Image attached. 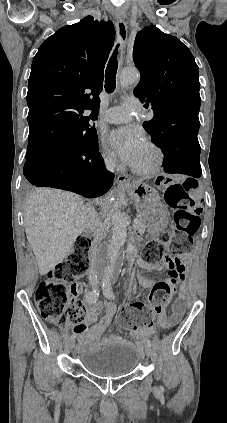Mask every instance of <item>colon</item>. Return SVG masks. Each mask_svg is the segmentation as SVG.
I'll return each mask as SVG.
<instances>
[{
    "label": "colon",
    "mask_w": 227,
    "mask_h": 423,
    "mask_svg": "<svg viewBox=\"0 0 227 423\" xmlns=\"http://www.w3.org/2000/svg\"><path fill=\"white\" fill-rule=\"evenodd\" d=\"M156 184L164 190L166 203L175 209L171 254L165 251L167 236L162 235L148 243L143 259L148 263L161 264L168 270V277L154 285L149 303L135 302L121 310L120 324L130 330L149 326L152 314L164 312L174 293V285L184 278L183 266L176 255L192 249L193 236L200 227L202 209L193 198L192 192L196 188L193 180L174 182L157 179ZM89 246L90 239L80 236L69 256L50 270L36 289L34 300L40 314L46 321L61 328L84 319V307L76 299L77 284L74 281L88 269Z\"/></svg>",
    "instance_id": "5ec220e1"
}]
</instances>
